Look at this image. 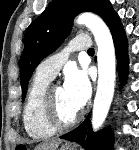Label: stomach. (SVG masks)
Returning <instances> with one entry per match:
<instances>
[{"label": "stomach", "instance_id": "obj_1", "mask_svg": "<svg viewBox=\"0 0 139 150\" xmlns=\"http://www.w3.org/2000/svg\"><path fill=\"white\" fill-rule=\"evenodd\" d=\"M60 150H74L72 147H69L67 145H63Z\"/></svg>", "mask_w": 139, "mask_h": 150}]
</instances>
